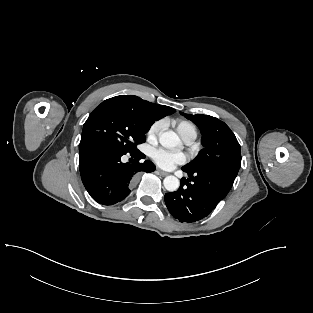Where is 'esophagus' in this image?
I'll return each instance as SVG.
<instances>
[{"label":"esophagus","mask_w":313,"mask_h":313,"mask_svg":"<svg viewBox=\"0 0 313 313\" xmlns=\"http://www.w3.org/2000/svg\"><path fill=\"white\" fill-rule=\"evenodd\" d=\"M157 173H158L160 176H163V177L168 175L167 172H164V171H162V170H160V169H157Z\"/></svg>","instance_id":"1"}]
</instances>
